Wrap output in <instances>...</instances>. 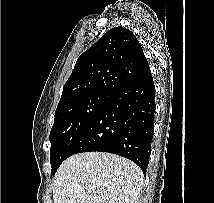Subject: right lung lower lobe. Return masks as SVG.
Returning <instances> with one entry per match:
<instances>
[{
  "label": "right lung lower lobe",
  "instance_id": "98d812e1",
  "mask_svg": "<svg viewBox=\"0 0 214 203\" xmlns=\"http://www.w3.org/2000/svg\"><path fill=\"white\" fill-rule=\"evenodd\" d=\"M155 113L151 73L110 94L89 128L74 143L68 157L82 152H109L128 158L146 173Z\"/></svg>",
  "mask_w": 214,
  "mask_h": 203
}]
</instances>
